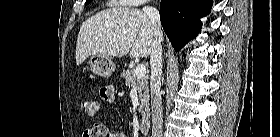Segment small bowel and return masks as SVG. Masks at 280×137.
<instances>
[{
  "mask_svg": "<svg viewBox=\"0 0 280 137\" xmlns=\"http://www.w3.org/2000/svg\"><path fill=\"white\" fill-rule=\"evenodd\" d=\"M103 90L115 93V89L111 85L102 88L101 96ZM94 132L99 133L100 137H124L122 133H111L109 128L102 122L94 123L92 126L87 128L83 133V137H89V135H91Z\"/></svg>",
  "mask_w": 280,
  "mask_h": 137,
  "instance_id": "c3829d8e",
  "label": "small bowel"
}]
</instances>
